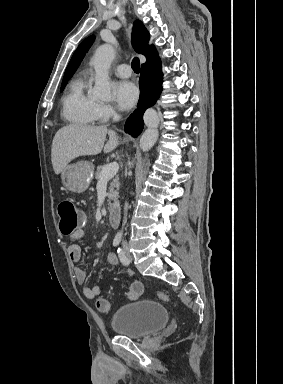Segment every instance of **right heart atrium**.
Wrapping results in <instances>:
<instances>
[{
  "label": "right heart atrium",
  "mask_w": 283,
  "mask_h": 384,
  "mask_svg": "<svg viewBox=\"0 0 283 384\" xmlns=\"http://www.w3.org/2000/svg\"><path fill=\"white\" fill-rule=\"evenodd\" d=\"M115 114V108L107 103L99 104V115L101 120H106L113 117Z\"/></svg>",
  "instance_id": "obj_1"
}]
</instances>
